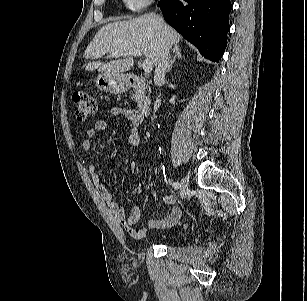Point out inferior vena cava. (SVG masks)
I'll return each mask as SVG.
<instances>
[{
	"label": "inferior vena cava",
	"mask_w": 307,
	"mask_h": 301,
	"mask_svg": "<svg viewBox=\"0 0 307 301\" xmlns=\"http://www.w3.org/2000/svg\"><path fill=\"white\" fill-rule=\"evenodd\" d=\"M170 58V44L164 41L158 56V63L155 69L154 82L157 86H161L165 82V73Z\"/></svg>",
	"instance_id": "obj_1"
}]
</instances>
